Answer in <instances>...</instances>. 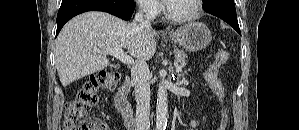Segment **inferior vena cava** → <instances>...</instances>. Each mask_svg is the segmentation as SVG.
<instances>
[{"instance_id": "inferior-vena-cava-1", "label": "inferior vena cava", "mask_w": 299, "mask_h": 130, "mask_svg": "<svg viewBox=\"0 0 299 130\" xmlns=\"http://www.w3.org/2000/svg\"><path fill=\"white\" fill-rule=\"evenodd\" d=\"M134 21L140 28L151 26L150 22L144 19V8L136 13ZM131 77L137 102L135 130H150V72L147 63L137 60L131 68Z\"/></svg>"}]
</instances>
